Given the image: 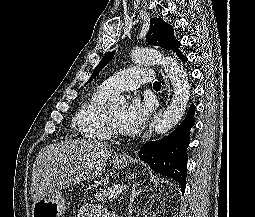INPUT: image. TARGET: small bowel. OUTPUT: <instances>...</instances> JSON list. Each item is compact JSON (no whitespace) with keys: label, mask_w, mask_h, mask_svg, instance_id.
<instances>
[{"label":"small bowel","mask_w":255,"mask_h":217,"mask_svg":"<svg viewBox=\"0 0 255 217\" xmlns=\"http://www.w3.org/2000/svg\"><path fill=\"white\" fill-rule=\"evenodd\" d=\"M116 216L114 213L108 212L102 206L89 204L83 206L79 212L77 217H114Z\"/></svg>","instance_id":"obj_1"}]
</instances>
